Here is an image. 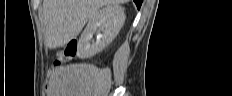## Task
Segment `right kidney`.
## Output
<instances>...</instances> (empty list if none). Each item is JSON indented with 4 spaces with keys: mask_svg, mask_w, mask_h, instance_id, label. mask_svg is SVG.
<instances>
[{
    "mask_svg": "<svg viewBox=\"0 0 232 96\" xmlns=\"http://www.w3.org/2000/svg\"><path fill=\"white\" fill-rule=\"evenodd\" d=\"M124 8L110 4L97 11L90 19L83 31L77 46V54L81 58H90L102 51L117 36L125 21ZM102 32L96 42L93 34Z\"/></svg>",
    "mask_w": 232,
    "mask_h": 96,
    "instance_id": "1",
    "label": "right kidney"
}]
</instances>
